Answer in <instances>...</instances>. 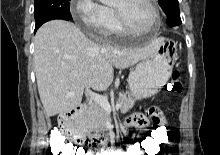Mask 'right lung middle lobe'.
I'll return each mask as SVG.
<instances>
[{
  "mask_svg": "<svg viewBox=\"0 0 220 155\" xmlns=\"http://www.w3.org/2000/svg\"><path fill=\"white\" fill-rule=\"evenodd\" d=\"M36 26L52 19H72L69 0H35Z\"/></svg>",
  "mask_w": 220,
  "mask_h": 155,
  "instance_id": "obj_1",
  "label": "right lung middle lobe"
}]
</instances>
